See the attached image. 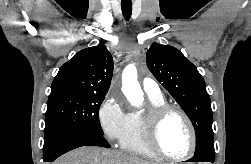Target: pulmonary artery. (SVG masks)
<instances>
[{"label": "pulmonary artery", "mask_w": 251, "mask_h": 164, "mask_svg": "<svg viewBox=\"0 0 251 164\" xmlns=\"http://www.w3.org/2000/svg\"><path fill=\"white\" fill-rule=\"evenodd\" d=\"M142 86L148 96H151V97L162 96V93L158 84L153 79L149 77H145L142 80Z\"/></svg>", "instance_id": "1"}]
</instances>
